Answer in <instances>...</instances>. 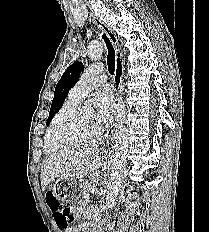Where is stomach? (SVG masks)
Returning <instances> with one entry per match:
<instances>
[{
  "instance_id": "1",
  "label": "stomach",
  "mask_w": 209,
  "mask_h": 232,
  "mask_svg": "<svg viewBox=\"0 0 209 232\" xmlns=\"http://www.w3.org/2000/svg\"><path fill=\"white\" fill-rule=\"evenodd\" d=\"M81 186L82 183L76 182L73 176H60L55 183L53 194L61 203H74L75 199H80Z\"/></svg>"
}]
</instances>
